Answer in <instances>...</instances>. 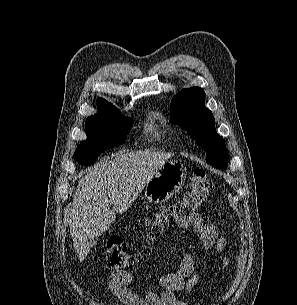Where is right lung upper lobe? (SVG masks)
<instances>
[{
  "mask_svg": "<svg viewBox=\"0 0 297 305\" xmlns=\"http://www.w3.org/2000/svg\"><path fill=\"white\" fill-rule=\"evenodd\" d=\"M97 105H98L99 112H105V111H109L113 108H116L111 103L107 102L106 100H104L102 98H99L97 100Z\"/></svg>",
  "mask_w": 297,
  "mask_h": 305,
  "instance_id": "obj_1",
  "label": "right lung upper lobe"
}]
</instances>
